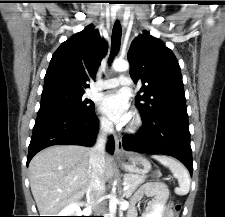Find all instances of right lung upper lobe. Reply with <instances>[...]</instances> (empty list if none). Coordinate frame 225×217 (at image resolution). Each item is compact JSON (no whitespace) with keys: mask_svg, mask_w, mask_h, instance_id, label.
<instances>
[{"mask_svg":"<svg viewBox=\"0 0 225 217\" xmlns=\"http://www.w3.org/2000/svg\"><path fill=\"white\" fill-rule=\"evenodd\" d=\"M107 43L92 25L75 34L53 54L44 78L42 94L55 91L83 92L87 82L95 79Z\"/></svg>","mask_w":225,"mask_h":217,"instance_id":"1","label":"right lung upper lobe"}]
</instances>
